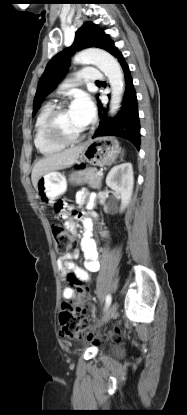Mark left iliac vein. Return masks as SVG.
<instances>
[{
    "label": "left iliac vein",
    "instance_id": "left-iliac-vein-1",
    "mask_svg": "<svg viewBox=\"0 0 187 415\" xmlns=\"http://www.w3.org/2000/svg\"><path fill=\"white\" fill-rule=\"evenodd\" d=\"M118 303H114L109 310L106 312V314L103 316V318L101 319L100 322H98V324H96L95 327L97 326H101L105 323H107L111 318L115 317L117 314V310H118Z\"/></svg>",
    "mask_w": 187,
    "mask_h": 415
}]
</instances>
